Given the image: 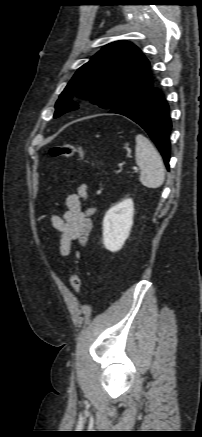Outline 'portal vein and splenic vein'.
Returning a JSON list of instances; mask_svg holds the SVG:
<instances>
[{
  "label": "portal vein and splenic vein",
  "mask_w": 202,
  "mask_h": 437,
  "mask_svg": "<svg viewBox=\"0 0 202 437\" xmlns=\"http://www.w3.org/2000/svg\"><path fill=\"white\" fill-rule=\"evenodd\" d=\"M134 170H137V167H134Z\"/></svg>",
  "instance_id": "1"
}]
</instances>
